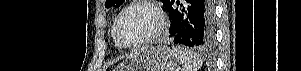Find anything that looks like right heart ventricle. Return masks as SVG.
Returning <instances> with one entry per match:
<instances>
[{
    "label": "right heart ventricle",
    "instance_id": "1",
    "mask_svg": "<svg viewBox=\"0 0 301 71\" xmlns=\"http://www.w3.org/2000/svg\"><path fill=\"white\" fill-rule=\"evenodd\" d=\"M112 38H113V41H114L115 46H116L117 48L120 49L121 47L117 44V42H116L115 39H114L113 29H112Z\"/></svg>",
    "mask_w": 301,
    "mask_h": 71
}]
</instances>
